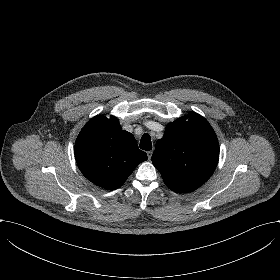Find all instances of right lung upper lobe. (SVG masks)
Wrapping results in <instances>:
<instances>
[{
	"label": "right lung upper lobe",
	"instance_id": "right-lung-upper-lobe-1",
	"mask_svg": "<svg viewBox=\"0 0 280 280\" xmlns=\"http://www.w3.org/2000/svg\"><path fill=\"white\" fill-rule=\"evenodd\" d=\"M75 158L82 174L107 190L121 187L138 164L147 160L134 136L122 130L117 118L99 115L81 130Z\"/></svg>",
	"mask_w": 280,
	"mask_h": 280
}]
</instances>
